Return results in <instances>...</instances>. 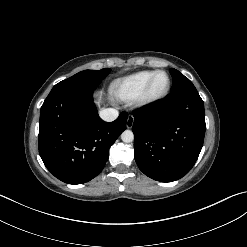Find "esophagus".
I'll return each mask as SVG.
<instances>
[{
    "label": "esophagus",
    "instance_id": "obj_1",
    "mask_svg": "<svg viewBox=\"0 0 247 247\" xmlns=\"http://www.w3.org/2000/svg\"><path fill=\"white\" fill-rule=\"evenodd\" d=\"M134 124V117L132 115H129L126 121L127 128H132Z\"/></svg>",
    "mask_w": 247,
    "mask_h": 247
}]
</instances>
